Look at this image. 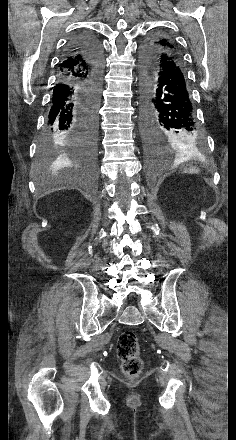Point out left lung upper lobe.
Returning <instances> with one entry per match:
<instances>
[{
    "instance_id": "1",
    "label": "left lung upper lobe",
    "mask_w": 236,
    "mask_h": 440,
    "mask_svg": "<svg viewBox=\"0 0 236 440\" xmlns=\"http://www.w3.org/2000/svg\"><path fill=\"white\" fill-rule=\"evenodd\" d=\"M178 55L179 50L173 40L164 33H154L142 45L141 61L157 62L164 56Z\"/></svg>"
}]
</instances>
